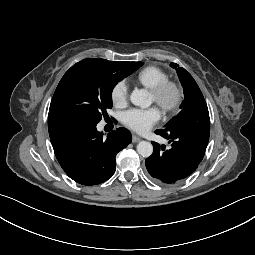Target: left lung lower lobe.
Wrapping results in <instances>:
<instances>
[{"mask_svg":"<svg viewBox=\"0 0 255 255\" xmlns=\"http://www.w3.org/2000/svg\"><path fill=\"white\" fill-rule=\"evenodd\" d=\"M169 139L171 147L152 142L153 154L145 161L149 174L166 184L186 179L202 161L210 135V118L205 100L182 109L164 129L155 131Z\"/></svg>","mask_w":255,"mask_h":255,"instance_id":"0a47b994","label":"left lung lower lobe"}]
</instances>
